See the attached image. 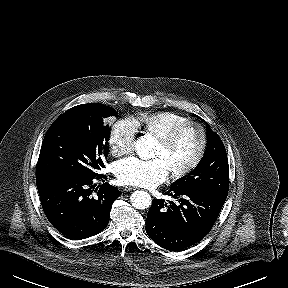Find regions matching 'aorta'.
I'll return each mask as SVG.
<instances>
[{
  "label": "aorta",
  "instance_id": "762f6f07",
  "mask_svg": "<svg viewBox=\"0 0 288 288\" xmlns=\"http://www.w3.org/2000/svg\"><path fill=\"white\" fill-rule=\"evenodd\" d=\"M156 139L150 135H144L135 142V151L137 155L144 160L154 157ZM131 204L136 209H146L150 207L152 198L146 191H135L130 196Z\"/></svg>",
  "mask_w": 288,
  "mask_h": 288
}]
</instances>
